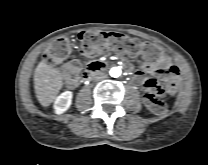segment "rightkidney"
<instances>
[{"label": "right kidney", "mask_w": 208, "mask_h": 165, "mask_svg": "<svg viewBox=\"0 0 208 165\" xmlns=\"http://www.w3.org/2000/svg\"><path fill=\"white\" fill-rule=\"evenodd\" d=\"M73 93L71 91H65L60 94L54 102V110L56 114H62L68 110L72 103Z\"/></svg>", "instance_id": "ca27d5eb"}]
</instances>
